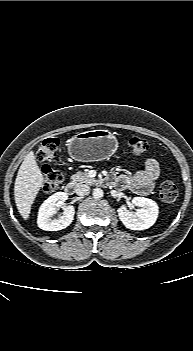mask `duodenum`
Returning a JSON list of instances; mask_svg holds the SVG:
<instances>
[{
	"mask_svg": "<svg viewBox=\"0 0 193 351\" xmlns=\"http://www.w3.org/2000/svg\"><path fill=\"white\" fill-rule=\"evenodd\" d=\"M66 191L69 194H73L74 193V183L73 182L70 181V182H68L66 184Z\"/></svg>",
	"mask_w": 193,
	"mask_h": 351,
	"instance_id": "obj_1",
	"label": "duodenum"
}]
</instances>
